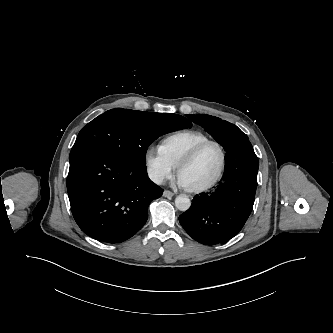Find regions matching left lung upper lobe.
<instances>
[{
  "label": "left lung upper lobe",
  "mask_w": 333,
  "mask_h": 333,
  "mask_svg": "<svg viewBox=\"0 0 333 333\" xmlns=\"http://www.w3.org/2000/svg\"><path fill=\"white\" fill-rule=\"evenodd\" d=\"M194 123L202 126L227 152L237 143L248 139L234 124L210 115H187Z\"/></svg>",
  "instance_id": "obj_1"
}]
</instances>
